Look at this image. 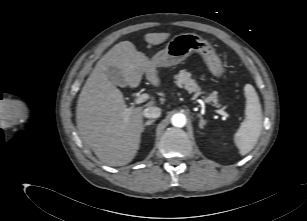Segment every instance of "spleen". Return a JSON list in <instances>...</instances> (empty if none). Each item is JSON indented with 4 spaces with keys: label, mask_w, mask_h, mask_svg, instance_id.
<instances>
[{
    "label": "spleen",
    "mask_w": 307,
    "mask_h": 221,
    "mask_svg": "<svg viewBox=\"0 0 307 221\" xmlns=\"http://www.w3.org/2000/svg\"><path fill=\"white\" fill-rule=\"evenodd\" d=\"M244 93L246 117L234 135V142L242 156L256 146L262 131V109L257 92L251 84H246Z\"/></svg>",
    "instance_id": "3e777b00"
}]
</instances>
